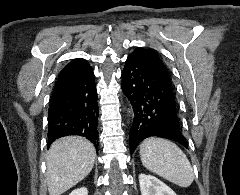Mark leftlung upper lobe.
Listing matches in <instances>:
<instances>
[{
  "label": "left lung upper lobe",
  "mask_w": 240,
  "mask_h": 195,
  "mask_svg": "<svg viewBox=\"0 0 240 195\" xmlns=\"http://www.w3.org/2000/svg\"><path fill=\"white\" fill-rule=\"evenodd\" d=\"M130 55H132V56H141V57L145 58L148 61L156 62L164 69V71L167 74H169V71L167 70L165 64L162 62V60L158 56L157 52L155 50H153V49H145V48L139 47L136 50H134Z\"/></svg>",
  "instance_id": "obj_1"
}]
</instances>
